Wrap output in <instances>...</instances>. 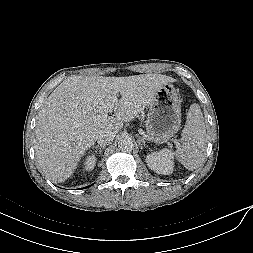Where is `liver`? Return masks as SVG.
Listing matches in <instances>:
<instances>
[{"instance_id":"6515ba94","label":"liver","mask_w":253,"mask_h":253,"mask_svg":"<svg viewBox=\"0 0 253 253\" xmlns=\"http://www.w3.org/2000/svg\"><path fill=\"white\" fill-rule=\"evenodd\" d=\"M175 81L150 73L128 77L73 76L64 80L39 114L34 139L39 167L53 181H65L101 129L117 133L124 122L138 117L164 85ZM113 111V116L95 118L96 113Z\"/></svg>"}]
</instances>
